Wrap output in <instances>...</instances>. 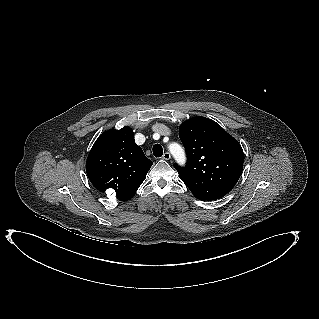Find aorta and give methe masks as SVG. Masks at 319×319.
<instances>
[{
    "label": "aorta",
    "instance_id": "762f6f07",
    "mask_svg": "<svg viewBox=\"0 0 319 319\" xmlns=\"http://www.w3.org/2000/svg\"><path fill=\"white\" fill-rule=\"evenodd\" d=\"M169 150L179 166H184L186 164L187 158L181 145L172 143L169 145Z\"/></svg>",
    "mask_w": 319,
    "mask_h": 319
}]
</instances>
